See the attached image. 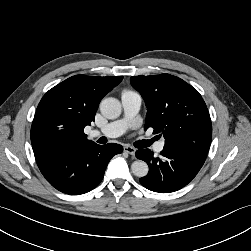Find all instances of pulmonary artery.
Masks as SVG:
<instances>
[{
  "label": "pulmonary artery",
  "instance_id": "e3ab8cb5",
  "mask_svg": "<svg viewBox=\"0 0 251 251\" xmlns=\"http://www.w3.org/2000/svg\"><path fill=\"white\" fill-rule=\"evenodd\" d=\"M121 101L123 106L124 115L121 119L113 121L101 129H95L90 132L91 137L104 136L107 138H113L123 134L131 123L135 120L138 114L142 99L141 96L133 91H124L121 95ZM165 146V140L162 139L154 146V150L157 153L163 151Z\"/></svg>",
  "mask_w": 251,
  "mask_h": 251
}]
</instances>
